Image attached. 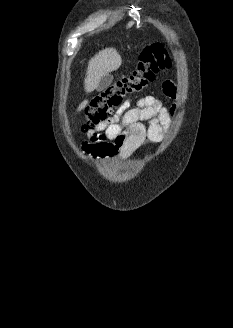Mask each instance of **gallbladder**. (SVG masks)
<instances>
[{"instance_id": "obj_1", "label": "gallbladder", "mask_w": 233, "mask_h": 328, "mask_svg": "<svg viewBox=\"0 0 233 328\" xmlns=\"http://www.w3.org/2000/svg\"><path fill=\"white\" fill-rule=\"evenodd\" d=\"M112 81H113V76L110 74H105L104 76L101 77L99 84L97 86V90L99 92L104 91L111 85Z\"/></svg>"}]
</instances>
